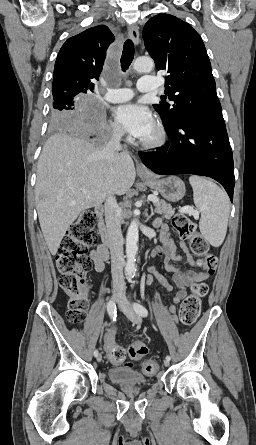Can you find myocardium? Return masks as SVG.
<instances>
[{
	"instance_id": "myocardium-1",
	"label": "myocardium",
	"mask_w": 256,
	"mask_h": 445,
	"mask_svg": "<svg viewBox=\"0 0 256 445\" xmlns=\"http://www.w3.org/2000/svg\"><path fill=\"white\" fill-rule=\"evenodd\" d=\"M166 130L161 123L154 125L153 136L149 139L141 141V145L147 149H156L164 145L166 142Z\"/></svg>"
}]
</instances>
